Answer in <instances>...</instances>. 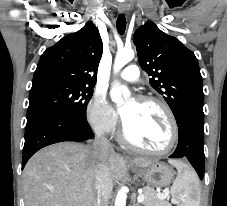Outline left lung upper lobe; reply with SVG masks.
<instances>
[{"label": "left lung upper lobe", "instance_id": "1", "mask_svg": "<svg viewBox=\"0 0 227 206\" xmlns=\"http://www.w3.org/2000/svg\"><path fill=\"white\" fill-rule=\"evenodd\" d=\"M133 42L140 66L152 76L150 85L166 100L177 125L188 114L204 117L202 77L194 53L153 22L138 28Z\"/></svg>", "mask_w": 227, "mask_h": 206}]
</instances>
